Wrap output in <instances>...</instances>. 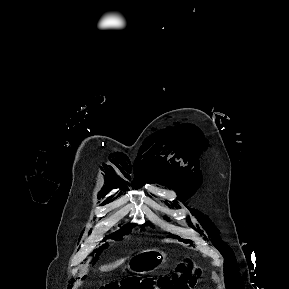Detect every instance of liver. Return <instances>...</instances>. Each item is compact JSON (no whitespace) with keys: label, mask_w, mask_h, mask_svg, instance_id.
<instances>
[{"label":"liver","mask_w":289,"mask_h":289,"mask_svg":"<svg viewBox=\"0 0 289 289\" xmlns=\"http://www.w3.org/2000/svg\"><path fill=\"white\" fill-rule=\"evenodd\" d=\"M124 262V259L118 260L115 263L111 264V265H105V266H101L100 270L101 271H109L113 268L118 267L120 264H122Z\"/></svg>","instance_id":"liver-1"}]
</instances>
